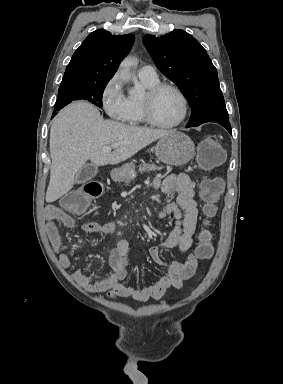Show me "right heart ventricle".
I'll return each instance as SVG.
<instances>
[{
	"label": "right heart ventricle",
	"instance_id": "right-heart-ventricle-1",
	"mask_svg": "<svg viewBox=\"0 0 283 384\" xmlns=\"http://www.w3.org/2000/svg\"><path fill=\"white\" fill-rule=\"evenodd\" d=\"M140 81L147 88L158 83V80L155 82H149L141 78ZM126 123L131 126H143L146 123L141 112L140 99L133 98L132 96L127 97Z\"/></svg>",
	"mask_w": 283,
	"mask_h": 384
}]
</instances>
